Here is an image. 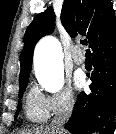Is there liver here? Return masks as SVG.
<instances>
[{
    "label": "liver",
    "mask_w": 116,
    "mask_h": 134,
    "mask_svg": "<svg viewBox=\"0 0 116 134\" xmlns=\"http://www.w3.org/2000/svg\"><path fill=\"white\" fill-rule=\"evenodd\" d=\"M21 134H55V132L51 129V127H45L34 131L22 132Z\"/></svg>",
    "instance_id": "liver-1"
}]
</instances>
